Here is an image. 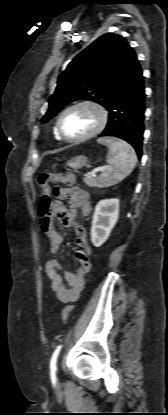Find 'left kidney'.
Segmentation results:
<instances>
[{
    "label": "left kidney",
    "instance_id": "5707ae66",
    "mask_svg": "<svg viewBox=\"0 0 168 415\" xmlns=\"http://www.w3.org/2000/svg\"><path fill=\"white\" fill-rule=\"evenodd\" d=\"M119 215V200L105 199L98 202L92 219L91 241L100 247L108 239Z\"/></svg>",
    "mask_w": 168,
    "mask_h": 415
}]
</instances>
